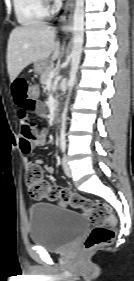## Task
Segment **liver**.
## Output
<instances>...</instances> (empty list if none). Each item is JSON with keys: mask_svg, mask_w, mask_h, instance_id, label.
Masks as SVG:
<instances>
[{"mask_svg": "<svg viewBox=\"0 0 134 281\" xmlns=\"http://www.w3.org/2000/svg\"><path fill=\"white\" fill-rule=\"evenodd\" d=\"M58 58L60 45L55 41V28L43 22H33L12 30L7 47V69L10 81L21 71L38 61Z\"/></svg>", "mask_w": 134, "mask_h": 281, "instance_id": "liver-1", "label": "liver"}]
</instances>
